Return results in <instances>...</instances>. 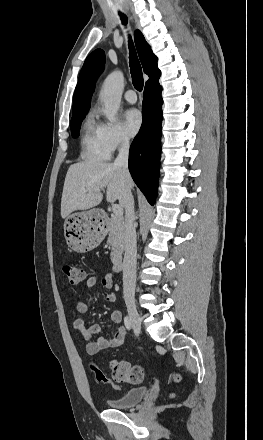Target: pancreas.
Wrapping results in <instances>:
<instances>
[{
	"label": "pancreas",
	"instance_id": "obj_1",
	"mask_svg": "<svg viewBox=\"0 0 263 440\" xmlns=\"http://www.w3.org/2000/svg\"><path fill=\"white\" fill-rule=\"evenodd\" d=\"M108 231L107 243L111 246V261L116 264L121 260L124 250L125 222L123 217H112L109 220Z\"/></svg>",
	"mask_w": 263,
	"mask_h": 440
}]
</instances>
